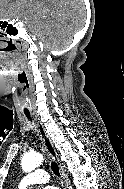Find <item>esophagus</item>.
<instances>
[{
    "mask_svg": "<svg viewBox=\"0 0 124 189\" xmlns=\"http://www.w3.org/2000/svg\"><path fill=\"white\" fill-rule=\"evenodd\" d=\"M34 119H35V122H36V127H37V130H38V133L40 135V138L43 142V145H44L49 157L58 164L59 171H60L61 178H62V187H63L62 189H67L68 185H67V182H66V175H65L63 166L60 163L57 151H56L55 147L53 146L49 136L47 135L44 126L40 123V121L38 120L36 115H34Z\"/></svg>",
    "mask_w": 124,
    "mask_h": 189,
    "instance_id": "obj_1",
    "label": "esophagus"
}]
</instances>
